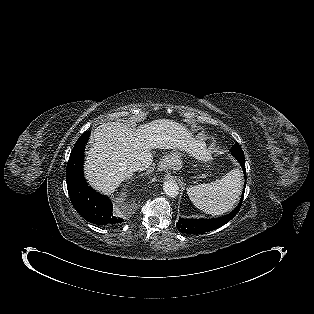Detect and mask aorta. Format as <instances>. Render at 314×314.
Listing matches in <instances>:
<instances>
[{
    "label": "aorta",
    "instance_id": "obj_1",
    "mask_svg": "<svg viewBox=\"0 0 314 314\" xmlns=\"http://www.w3.org/2000/svg\"><path fill=\"white\" fill-rule=\"evenodd\" d=\"M163 190L169 197H176L179 194V186L174 180H167L163 183Z\"/></svg>",
    "mask_w": 314,
    "mask_h": 314
}]
</instances>
